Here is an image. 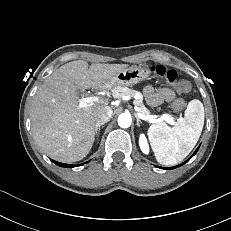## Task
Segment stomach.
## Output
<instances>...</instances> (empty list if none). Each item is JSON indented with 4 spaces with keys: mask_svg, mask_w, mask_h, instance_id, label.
<instances>
[{
    "mask_svg": "<svg viewBox=\"0 0 231 231\" xmlns=\"http://www.w3.org/2000/svg\"><path fill=\"white\" fill-rule=\"evenodd\" d=\"M150 71L147 67L132 65L119 71L109 80V85L114 86H133L146 78H148Z\"/></svg>",
    "mask_w": 231,
    "mask_h": 231,
    "instance_id": "stomach-1",
    "label": "stomach"
}]
</instances>
